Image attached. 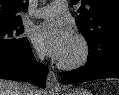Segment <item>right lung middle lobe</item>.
Returning <instances> with one entry per match:
<instances>
[{
	"instance_id": "obj_1",
	"label": "right lung middle lobe",
	"mask_w": 119,
	"mask_h": 95,
	"mask_svg": "<svg viewBox=\"0 0 119 95\" xmlns=\"http://www.w3.org/2000/svg\"><path fill=\"white\" fill-rule=\"evenodd\" d=\"M22 22L0 25V47L18 46L27 40L22 37Z\"/></svg>"
}]
</instances>
